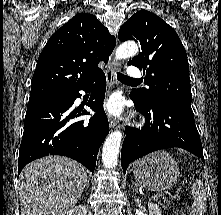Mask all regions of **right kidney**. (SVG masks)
Listing matches in <instances>:
<instances>
[{"label":"right kidney","instance_id":"obj_1","mask_svg":"<svg viewBox=\"0 0 221 215\" xmlns=\"http://www.w3.org/2000/svg\"><path fill=\"white\" fill-rule=\"evenodd\" d=\"M63 215H86V207L83 205L76 206L65 212Z\"/></svg>","mask_w":221,"mask_h":215}]
</instances>
